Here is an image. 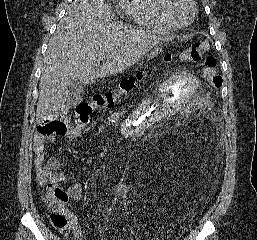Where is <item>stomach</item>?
Listing matches in <instances>:
<instances>
[{
  "mask_svg": "<svg viewBox=\"0 0 257 240\" xmlns=\"http://www.w3.org/2000/svg\"><path fill=\"white\" fill-rule=\"evenodd\" d=\"M160 52H162V47H154V49L148 55V59H152L153 57L157 56Z\"/></svg>",
  "mask_w": 257,
  "mask_h": 240,
  "instance_id": "0dacf381",
  "label": "stomach"
}]
</instances>
